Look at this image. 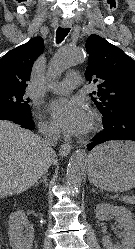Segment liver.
<instances>
[{
    "label": "liver",
    "instance_id": "obj_1",
    "mask_svg": "<svg viewBox=\"0 0 135 249\" xmlns=\"http://www.w3.org/2000/svg\"><path fill=\"white\" fill-rule=\"evenodd\" d=\"M54 161L39 136L0 120V199L32 187Z\"/></svg>",
    "mask_w": 135,
    "mask_h": 249
}]
</instances>
